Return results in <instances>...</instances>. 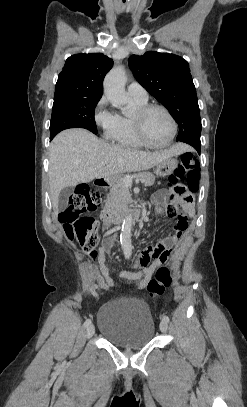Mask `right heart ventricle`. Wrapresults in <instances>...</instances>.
I'll use <instances>...</instances> for the list:
<instances>
[{"label": "right heart ventricle", "instance_id": "right-heart-ventricle-1", "mask_svg": "<svg viewBox=\"0 0 247 407\" xmlns=\"http://www.w3.org/2000/svg\"><path fill=\"white\" fill-rule=\"evenodd\" d=\"M135 107H142L147 104V101L134 100ZM109 138L116 144L132 149L143 148L144 145L136 138L131 116L117 114L116 124L110 133Z\"/></svg>", "mask_w": 247, "mask_h": 407}]
</instances>
